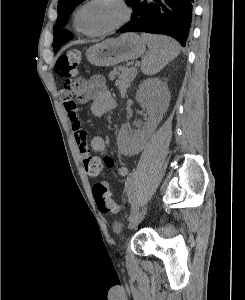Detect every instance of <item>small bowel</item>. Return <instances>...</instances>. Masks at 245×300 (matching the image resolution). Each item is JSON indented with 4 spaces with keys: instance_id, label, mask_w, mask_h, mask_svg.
<instances>
[{
    "instance_id": "c3829d8e",
    "label": "small bowel",
    "mask_w": 245,
    "mask_h": 300,
    "mask_svg": "<svg viewBox=\"0 0 245 300\" xmlns=\"http://www.w3.org/2000/svg\"><path fill=\"white\" fill-rule=\"evenodd\" d=\"M82 89L79 91L81 102L91 101V112L97 117H102L115 106L113 95L107 86L103 76L95 75L88 80L82 81ZM64 109L74 134L75 142L83 160L85 170L90 176H98L104 168L115 167V161L109 156L100 159L91 152L102 153L106 149V141L101 136H94L88 143L87 133L82 127L78 114V108L72 98H63ZM117 174L125 177L129 174L127 166H119ZM108 181H95L93 190H109Z\"/></svg>"
}]
</instances>
